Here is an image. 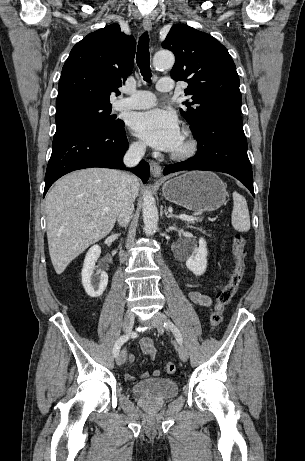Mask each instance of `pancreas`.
Instances as JSON below:
<instances>
[{
  "mask_svg": "<svg viewBox=\"0 0 305 461\" xmlns=\"http://www.w3.org/2000/svg\"><path fill=\"white\" fill-rule=\"evenodd\" d=\"M201 220H202V218H196L195 220H193V221H189V222H190V223H195V221H197V222H198V221H201Z\"/></svg>",
  "mask_w": 305,
  "mask_h": 461,
  "instance_id": "cf45deb5",
  "label": "pancreas"
}]
</instances>
